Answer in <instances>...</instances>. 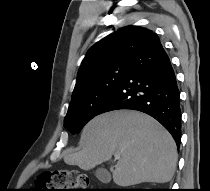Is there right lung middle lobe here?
Masks as SVG:
<instances>
[{"label":"right lung middle lobe","mask_w":210,"mask_h":191,"mask_svg":"<svg viewBox=\"0 0 210 191\" xmlns=\"http://www.w3.org/2000/svg\"><path fill=\"white\" fill-rule=\"evenodd\" d=\"M130 62H115L98 70L84 87L72 94L64 119V127L72 134L79 133L84 125L98 115L99 110L117 87Z\"/></svg>","instance_id":"dd1d6c3e"}]
</instances>
